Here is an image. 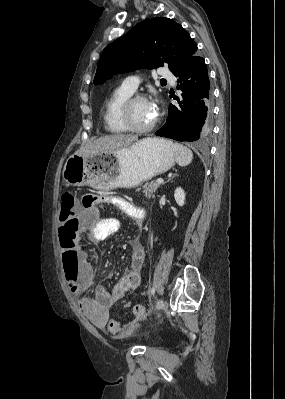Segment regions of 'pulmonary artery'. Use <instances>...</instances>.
I'll use <instances>...</instances> for the list:
<instances>
[{
  "label": "pulmonary artery",
  "mask_w": 285,
  "mask_h": 399,
  "mask_svg": "<svg viewBox=\"0 0 285 399\" xmlns=\"http://www.w3.org/2000/svg\"><path fill=\"white\" fill-rule=\"evenodd\" d=\"M161 75L162 77L170 80L171 82L175 81L172 73L167 69H163ZM138 85H139V79L136 76H128L125 79H123V81L121 82V86L132 93L137 90Z\"/></svg>",
  "instance_id": "pulmonary-artery-1"
}]
</instances>
